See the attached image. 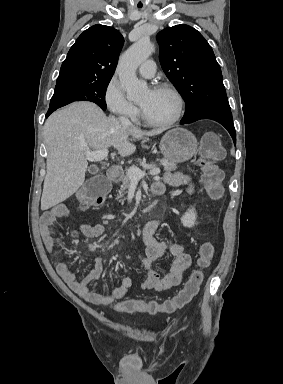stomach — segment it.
Returning a JSON list of instances; mask_svg holds the SVG:
<instances>
[{
	"instance_id": "0dacf381",
	"label": "stomach",
	"mask_w": 283,
	"mask_h": 384,
	"mask_svg": "<svg viewBox=\"0 0 283 384\" xmlns=\"http://www.w3.org/2000/svg\"><path fill=\"white\" fill-rule=\"evenodd\" d=\"M198 142L188 130L174 128L163 136L160 142V150L165 158L173 164H181L193 158L197 150Z\"/></svg>"
}]
</instances>
